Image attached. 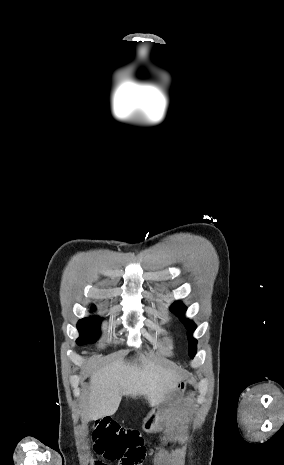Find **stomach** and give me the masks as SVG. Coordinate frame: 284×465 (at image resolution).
Instances as JSON below:
<instances>
[{"label":"stomach","mask_w":284,"mask_h":465,"mask_svg":"<svg viewBox=\"0 0 284 465\" xmlns=\"http://www.w3.org/2000/svg\"><path fill=\"white\" fill-rule=\"evenodd\" d=\"M187 387L186 381H180L177 385L176 399L178 401V397H182L183 393H185ZM169 403L164 401V403H160V405H156L155 409H152L151 413H148L146 419L143 421L142 429L146 431V433H154V431H160L163 421L166 415V409Z\"/></svg>","instance_id":"1"}]
</instances>
